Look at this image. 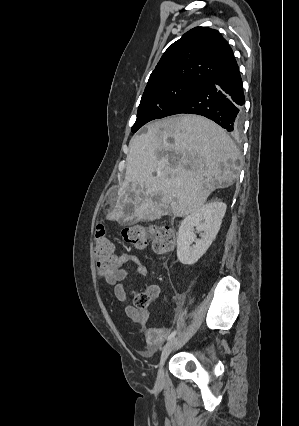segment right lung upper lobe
Segmentation results:
<instances>
[{
	"mask_svg": "<svg viewBox=\"0 0 299 426\" xmlns=\"http://www.w3.org/2000/svg\"><path fill=\"white\" fill-rule=\"evenodd\" d=\"M235 63L231 47L217 30L196 27L165 51L145 89L173 82L201 86Z\"/></svg>",
	"mask_w": 299,
	"mask_h": 426,
	"instance_id": "cb5924a9",
	"label": "right lung upper lobe"
}]
</instances>
